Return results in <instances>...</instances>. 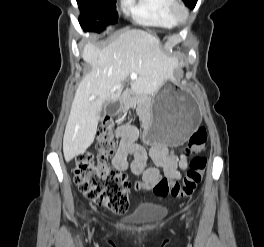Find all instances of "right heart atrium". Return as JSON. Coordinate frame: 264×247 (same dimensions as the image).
Masks as SVG:
<instances>
[{
	"label": "right heart atrium",
	"mask_w": 264,
	"mask_h": 247,
	"mask_svg": "<svg viewBox=\"0 0 264 247\" xmlns=\"http://www.w3.org/2000/svg\"><path fill=\"white\" fill-rule=\"evenodd\" d=\"M123 5H127V0H121Z\"/></svg>",
	"instance_id": "1"
}]
</instances>
